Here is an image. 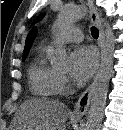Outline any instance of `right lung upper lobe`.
Wrapping results in <instances>:
<instances>
[{"instance_id":"right-lung-upper-lobe-1","label":"right lung upper lobe","mask_w":123,"mask_h":130,"mask_svg":"<svg viewBox=\"0 0 123 130\" xmlns=\"http://www.w3.org/2000/svg\"><path fill=\"white\" fill-rule=\"evenodd\" d=\"M36 33H37V30H36V28L34 27V28L30 31V33L28 34L27 39H26V42H25V47H24V51H23V56L28 54V52H29V50H30V47H31V45H32V43H33V40H34V38H35V36H36Z\"/></svg>"}]
</instances>
